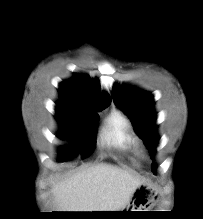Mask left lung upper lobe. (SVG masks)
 <instances>
[{
    "label": "left lung upper lobe",
    "instance_id": "5c2ea615",
    "mask_svg": "<svg viewBox=\"0 0 203 219\" xmlns=\"http://www.w3.org/2000/svg\"><path fill=\"white\" fill-rule=\"evenodd\" d=\"M112 95L114 102L131 119L136 133L144 140L150 154L154 155L159 138L156 133L153 96L148 92L125 86L113 87Z\"/></svg>",
    "mask_w": 203,
    "mask_h": 219
}]
</instances>
